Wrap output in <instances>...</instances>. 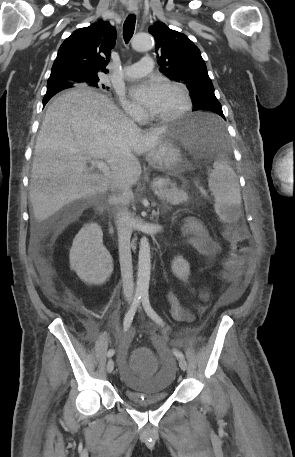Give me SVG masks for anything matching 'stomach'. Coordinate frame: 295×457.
Wrapping results in <instances>:
<instances>
[{
	"mask_svg": "<svg viewBox=\"0 0 295 457\" xmlns=\"http://www.w3.org/2000/svg\"><path fill=\"white\" fill-rule=\"evenodd\" d=\"M205 125L199 115H192L167 126L158 145L147 154L148 164L159 171L178 175L183 167L180 147L197 149L211 139Z\"/></svg>",
	"mask_w": 295,
	"mask_h": 457,
	"instance_id": "0dacf381",
	"label": "stomach"
}]
</instances>
